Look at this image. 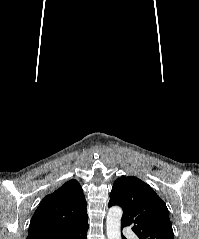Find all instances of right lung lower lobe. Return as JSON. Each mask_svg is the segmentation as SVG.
<instances>
[{"label": "right lung lower lobe", "mask_w": 199, "mask_h": 239, "mask_svg": "<svg viewBox=\"0 0 199 239\" xmlns=\"http://www.w3.org/2000/svg\"><path fill=\"white\" fill-rule=\"evenodd\" d=\"M87 230H88V223L83 224L66 234L55 236V237L42 238V239H87L86 238Z\"/></svg>", "instance_id": "right-lung-lower-lobe-1"}]
</instances>
